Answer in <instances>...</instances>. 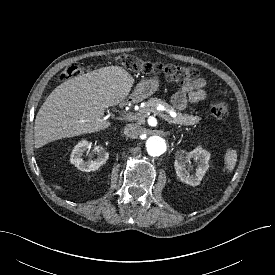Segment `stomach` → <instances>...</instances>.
<instances>
[{"label": "stomach", "instance_id": "0dacf381", "mask_svg": "<svg viewBox=\"0 0 275 275\" xmlns=\"http://www.w3.org/2000/svg\"><path fill=\"white\" fill-rule=\"evenodd\" d=\"M158 89V78L142 80L137 84L132 96L137 100H142L154 94Z\"/></svg>", "mask_w": 275, "mask_h": 275}]
</instances>
